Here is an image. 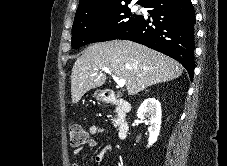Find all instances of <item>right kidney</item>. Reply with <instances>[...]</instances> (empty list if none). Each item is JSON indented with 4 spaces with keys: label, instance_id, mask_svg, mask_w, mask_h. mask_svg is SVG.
<instances>
[{
    "label": "right kidney",
    "instance_id": "right-kidney-1",
    "mask_svg": "<svg viewBox=\"0 0 227 166\" xmlns=\"http://www.w3.org/2000/svg\"><path fill=\"white\" fill-rule=\"evenodd\" d=\"M137 117L149 125L148 147H150L157 141L160 133L162 117L160 102L155 98L146 99L139 107Z\"/></svg>",
    "mask_w": 227,
    "mask_h": 166
}]
</instances>
